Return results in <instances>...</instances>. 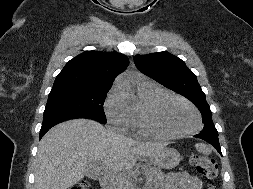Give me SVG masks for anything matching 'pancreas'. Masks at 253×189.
Returning <instances> with one entry per match:
<instances>
[{
  "mask_svg": "<svg viewBox=\"0 0 253 189\" xmlns=\"http://www.w3.org/2000/svg\"><path fill=\"white\" fill-rule=\"evenodd\" d=\"M148 180L150 184L158 185L162 183V181L165 178V175L161 172L159 168H151L147 172ZM123 187H128V180H126L124 177L121 178ZM125 189V188H124Z\"/></svg>",
  "mask_w": 253,
  "mask_h": 189,
  "instance_id": "pancreas-1",
  "label": "pancreas"
}]
</instances>
